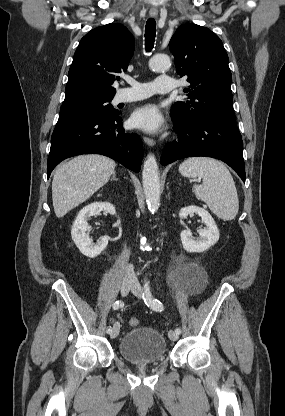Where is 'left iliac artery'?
<instances>
[{
  "label": "left iliac artery",
  "mask_w": 285,
  "mask_h": 416,
  "mask_svg": "<svg viewBox=\"0 0 285 416\" xmlns=\"http://www.w3.org/2000/svg\"><path fill=\"white\" fill-rule=\"evenodd\" d=\"M144 289H145V294H143V297L145 295V298H144L145 304L151 309L161 312L164 309V306L158 299L152 297L150 283L147 280L145 281ZM175 332L177 334H180L181 333L180 328H176Z\"/></svg>",
  "instance_id": "left-iliac-artery-1"
}]
</instances>
